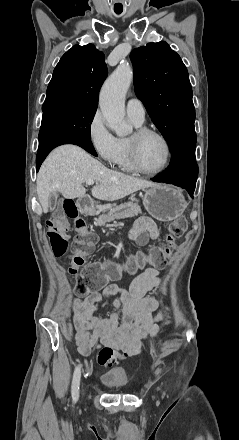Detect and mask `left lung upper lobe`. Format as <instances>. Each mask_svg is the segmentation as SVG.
I'll return each instance as SVG.
<instances>
[{"label": "left lung upper lobe", "mask_w": 239, "mask_h": 440, "mask_svg": "<svg viewBox=\"0 0 239 440\" xmlns=\"http://www.w3.org/2000/svg\"><path fill=\"white\" fill-rule=\"evenodd\" d=\"M137 97L173 151L195 139V109L188 71L164 42L148 43L130 54Z\"/></svg>", "instance_id": "left-lung-upper-lobe-1"}]
</instances>
